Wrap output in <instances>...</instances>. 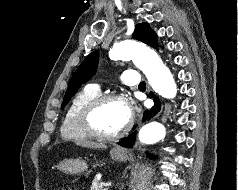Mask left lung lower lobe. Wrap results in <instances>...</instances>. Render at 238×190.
<instances>
[{
  "label": "left lung lower lobe",
  "mask_w": 238,
  "mask_h": 190,
  "mask_svg": "<svg viewBox=\"0 0 238 190\" xmlns=\"http://www.w3.org/2000/svg\"><path fill=\"white\" fill-rule=\"evenodd\" d=\"M151 96L154 97L156 106H154L150 112L149 111L144 112L143 121L152 118L154 115H156L160 111V108H161L158 98L155 97L154 95H151ZM134 140H135V132L132 135H129L128 137L122 139L120 142H118V144L123 147L130 148L134 145Z\"/></svg>",
  "instance_id": "0a47b994"
}]
</instances>
